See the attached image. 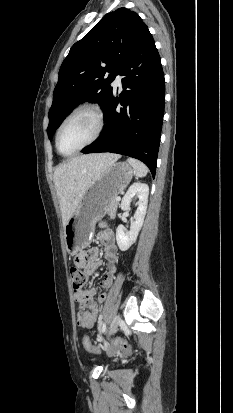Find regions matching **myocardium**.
<instances>
[{
    "mask_svg": "<svg viewBox=\"0 0 233 413\" xmlns=\"http://www.w3.org/2000/svg\"><path fill=\"white\" fill-rule=\"evenodd\" d=\"M82 112H89L91 114H93L97 120V128L96 131L94 133V135L92 136V138L86 142L85 144H83L81 147H79L78 149H76L75 151L65 154L60 150L59 147V137H60V133L63 129V127L66 125V123L71 120L74 116H76L79 113ZM104 126H105V119H104V114L102 112V110L94 105V104H83L77 108H75L60 124V126L58 127V130L56 132V136H55V146L56 149L58 151L59 154H61L62 156L65 157H70L73 156L75 154H77L78 152H80L81 150L85 149L86 147L90 146L91 144H93L95 141H97L99 139V137L101 136L103 130H104Z\"/></svg>",
    "mask_w": 233,
    "mask_h": 413,
    "instance_id": "f54148a6",
    "label": "myocardium"
}]
</instances>
